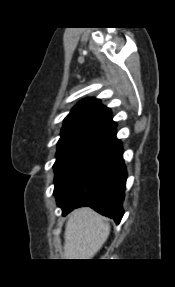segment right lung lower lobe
<instances>
[{
  "mask_svg": "<svg viewBox=\"0 0 175 287\" xmlns=\"http://www.w3.org/2000/svg\"><path fill=\"white\" fill-rule=\"evenodd\" d=\"M122 154L115 130L62 179L54 194L63 215L90 206L116 223L121 221L127 178Z\"/></svg>",
  "mask_w": 175,
  "mask_h": 287,
  "instance_id": "obj_1",
  "label": "right lung lower lobe"
}]
</instances>
